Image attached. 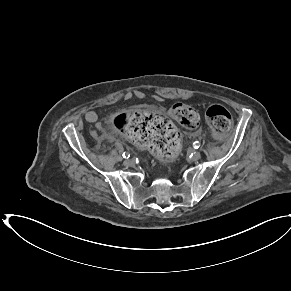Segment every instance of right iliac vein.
<instances>
[{
    "mask_svg": "<svg viewBox=\"0 0 291 291\" xmlns=\"http://www.w3.org/2000/svg\"><path fill=\"white\" fill-rule=\"evenodd\" d=\"M124 165H125V166H132V165H133V161L130 160V159H126V160L124 161Z\"/></svg>",
    "mask_w": 291,
    "mask_h": 291,
    "instance_id": "1",
    "label": "right iliac vein"
}]
</instances>
